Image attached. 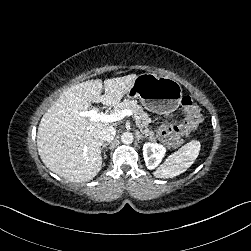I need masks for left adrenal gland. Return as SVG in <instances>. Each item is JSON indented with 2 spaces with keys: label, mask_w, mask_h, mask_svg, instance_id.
<instances>
[{
  "label": "left adrenal gland",
  "mask_w": 251,
  "mask_h": 251,
  "mask_svg": "<svg viewBox=\"0 0 251 251\" xmlns=\"http://www.w3.org/2000/svg\"><path fill=\"white\" fill-rule=\"evenodd\" d=\"M136 138L141 139L143 137V135L141 133H139L138 131L136 132Z\"/></svg>",
  "instance_id": "obj_1"
}]
</instances>
